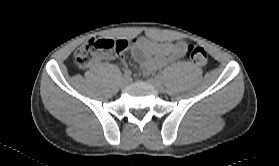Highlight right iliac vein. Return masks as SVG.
Instances as JSON below:
<instances>
[{
  "label": "right iliac vein",
  "instance_id": "obj_1",
  "mask_svg": "<svg viewBox=\"0 0 279 166\" xmlns=\"http://www.w3.org/2000/svg\"><path fill=\"white\" fill-rule=\"evenodd\" d=\"M129 83V78L123 77L120 81V87L125 88Z\"/></svg>",
  "mask_w": 279,
  "mask_h": 166
}]
</instances>
